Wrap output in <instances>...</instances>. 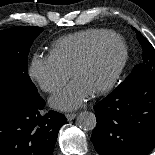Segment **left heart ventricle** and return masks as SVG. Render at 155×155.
<instances>
[{"mask_svg": "<svg viewBox=\"0 0 155 155\" xmlns=\"http://www.w3.org/2000/svg\"><path fill=\"white\" fill-rule=\"evenodd\" d=\"M124 55L123 45L112 40L102 47L95 59L84 68L75 80L91 93L107 84L115 74Z\"/></svg>", "mask_w": 155, "mask_h": 155, "instance_id": "b2bd125f", "label": "left heart ventricle"}]
</instances>
